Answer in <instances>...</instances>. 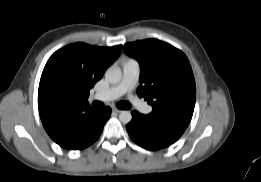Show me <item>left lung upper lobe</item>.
Instances as JSON below:
<instances>
[{
	"mask_svg": "<svg viewBox=\"0 0 261 182\" xmlns=\"http://www.w3.org/2000/svg\"><path fill=\"white\" fill-rule=\"evenodd\" d=\"M124 52L140 64L137 95L153 106L148 118L186 128L194 111L196 87L185 54L156 39L127 43Z\"/></svg>",
	"mask_w": 261,
	"mask_h": 182,
	"instance_id": "left-lung-upper-lobe-1",
	"label": "left lung upper lobe"
}]
</instances>
